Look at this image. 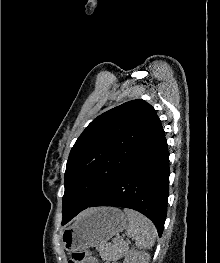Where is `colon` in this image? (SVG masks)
Returning a JSON list of instances; mask_svg holds the SVG:
<instances>
[{
	"label": "colon",
	"instance_id": "5ec220e1",
	"mask_svg": "<svg viewBox=\"0 0 220 263\" xmlns=\"http://www.w3.org/2000/svg\"><path fill=\"white\" fill-rule=\"evenodd\" d=\"M91 257V252L87 250H79L72 254L69 263H85Z\"/></svg>",
	"mask_w": 220,
	"mask_h": 263
}]
</instances>
